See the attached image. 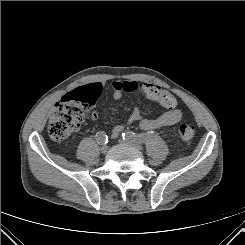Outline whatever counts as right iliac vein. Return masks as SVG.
<instances>
[{"mask_svg": "<svg viewBox=\"0 0 245 245\" xmlns=\"http://www.w3.org/2000/svg\"><path fill=\"white\" fill-rule=\"evenodd\" d=\"M108 150H109V148H108L107 145H103V146L101 147V152H102L103 154H106V153L108 152Z\"/></svg>", "mask_w": 245, "mask_h": 245, "instance_id": "obj_1", "label": "right iliac vein"}]
</instances>
